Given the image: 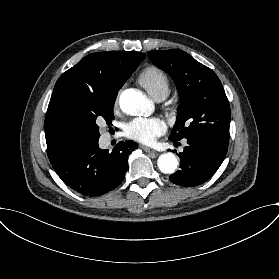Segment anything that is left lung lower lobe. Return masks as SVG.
I'll use <instances>...</instances> for the list:
<instances>
[{
  "label": "left lung lower lobe",
  "instance_id": "left-lung-lower-lobe-1",
  "mask_svg": "<svg viewBox=\"0 0 279 279\" xmlns=\"http://www.w3.org/2000/svg\"><path fill=\"white\" fill-rule=\"evenodd\" d=\"M169 140L178 141L170 137ZM186 140L188 145L178 155L181 169L169 179L176 185L193 187L204 183L217 171L226 156L229 140L206 135Z\"/></svg>",
  "mask_w": 279,
  "mask_h": 279
}]
</instances>
